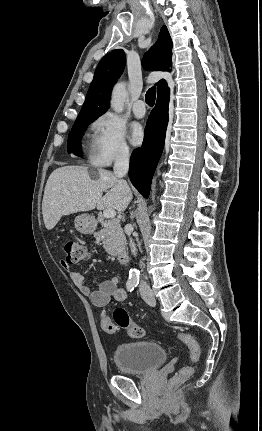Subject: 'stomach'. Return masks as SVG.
<instances>
[{
	"label": "stomach",
	"instance_id": "1",
	"mask_svg": "<svg viewBox=\"0 0 262 431\" xmlns=\"http://www.w3.org/2000/svg\"><path fill=\"white\" fill-rule=\"evenodd\" d=\"M75 228L82 234H92L96 228V221L89 214H81L75 218Z\"/></svg>",
	"mask_w": 262,
	"mask_h": 431
}]
</instances>
